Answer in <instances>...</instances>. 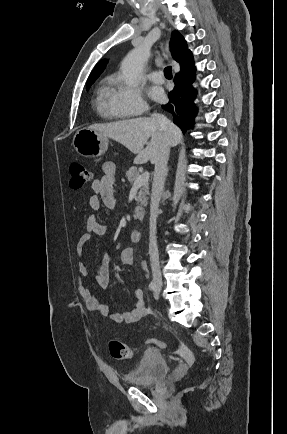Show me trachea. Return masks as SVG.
Segmentation results:
<instances>
[{
    "label": "trachea",
    "instance_id": "3493384b",
    "mask_svg": "<svg viewBox=\"0 0 287 434\" xmlns=\"http://www.w3.org/2000/svg\"><path fill=\"white\" fill-rule=\"evenodd\" d=\"M164 75H165L166 78H169V79L172 78V69H171V66H167L164 69Z\"/></svg>",
    "mask_w": 287,
    "mask_h": 434
}]
</instances>
